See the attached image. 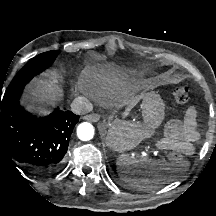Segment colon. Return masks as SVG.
Listing matches in <instances>:
<instances>
[{
  "mask_svg": "<svg viewBox=\"0 0 216 216\" xmlns=\"http://www.w3.org/2000/svg\"><path fill=\"white\" fill-rule=\"evenodd\" d=\"M190 90L187 86H179L174 90V98L179 103H186L189 100Z\"/></svg>",
  "mask_w": 216,
  "mask_h": 216,
  "instance_id": "1",
  "label": "colon"
}]
</instances>
